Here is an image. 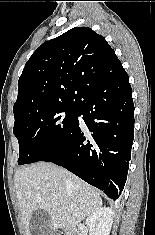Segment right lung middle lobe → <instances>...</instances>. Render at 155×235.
<instances>
[{
  "label": "right lung middle lobe",
  "instance_id": "right-lung-middle-lobe-1",
  "mask_svg": "<svg viewBox=\"0 0 155 235\" xmlns=\"http://www.w3.org/2000/svg\"><path fill=\"white\" fill-rule=\"evenodd\" d=\"M77 105L30 110L15 118L13 133L19 142L18 164L41 161L71 136L78 125Z\"/></svg>",
  "mask_w": 155,
  "mask_h": 235
}]
</instances>
